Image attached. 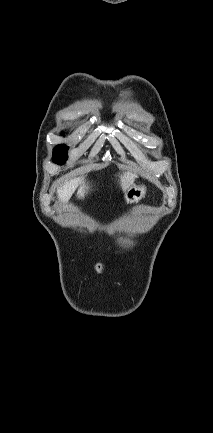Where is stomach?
I'll list each match as a JSON object with an SVG mask.
<instances>
[{
    "instance_id": "1",
    "label": "stomach",
    "mask_w": 213,
    "mask_h": 433,
    "mask_svg": "<svg viewBox=\"0 0 213 433\" xmlns=\"http://www.w3.org/2000/svg\"><path fill=\"white\" fill-rule=\"evenodd\" d=\"M145 194L146 187L144 185L136 186L133 183L124 191V199L127 203H137L144 198Z\"/></svg>"
}]
</instances>
